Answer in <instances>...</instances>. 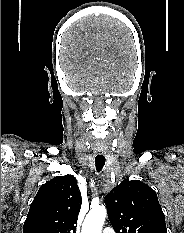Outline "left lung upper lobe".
<instances>
[{
	"label": "left lung upper lobe",
	"instance_id": "5c2ea615",
	"mask_svg": "<svg viewBox=\"0 0 184 233\" xmlns=\"http://www.w3.org/2000/svg\"><path fill=\"white\" fill-rule=\"evenodd\" d=\"M116 233H167L156 192L139 180H124L105 197Z\"/></svg>",
	"mask_w": 184,
	"mask_h": 233
}]
</instances>
